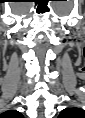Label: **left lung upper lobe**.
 Instances as JSON below:
<instances>
[{"mask_svg":"<svg viewBox=\"0 0 85 118\" xmlns=\"http://www.w3.org/2000/svg\"><path fill=\"white\" fill-rule=\"evenodd\" d=\"M76 111L75 108H68V109H64L62 112H61V116H66V115H70L72 113H74Z\"/></svg>","mask_w":85,"mask_h":118,"instance_id":"obj_1","label":"left lung upper lobe"}]
</instances>
